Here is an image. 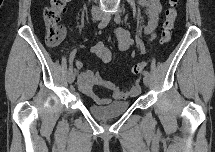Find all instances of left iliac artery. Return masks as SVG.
Wrapping results in <instances>:
<instances>
[{"instance_id": "44dca946", "label": "left iliac artery", "mask_w": 215, "mask_h": 152, "mask_svg": "<svg viewBox=\"0 0 215 152\" xmlns=\"http://www.w3.org/2000/svg\"><path fill=\"white\" fill-rule=\"evenodd\" d=\"M114 20H115V22L118 23V24L121 22V17H120V14H119V13L116 14ZM137 42H138V43H141L140 39H137ZM139 72H140V75H141V76H146V75H147V71H143L142 69H141Z\"/></svg>"}]
</instances>
